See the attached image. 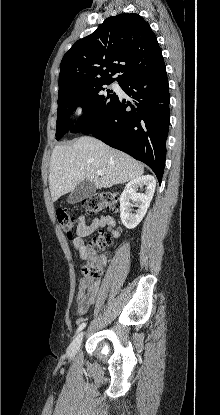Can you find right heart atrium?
Returning a JSON list of instances; mask_svg holds the SVG:
<instances>
[{"mask_svg":"<svg viewBox=\"0 0 220 415\" xmlns=\"http://www.w3.org/2000/svg\"><path fill=\"white\" fill-rule=\"evenodd\" d=\"M85 113V106L80 104L76 109L77 116H82Z\"/></svg>","mask_w":220,"mask_h":415,"instance_id":"obj_1","label":"right heart atrium"}]
</instances>
